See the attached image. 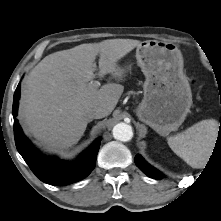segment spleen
I'll use <instances>...</instances> for the list:
<instances>
[{
    "label": "spleen",
    "mask_w": 221,
    "mask_h": 221,
    "mask_svg": "<svg viewBox=\"0 0 221 221\" xmlns=\"http://www.w3.org/2000/svg\"><path fill=\"white\" fill-rule=\"evenodd\" d=\"M218 122L202 120L185 131L167 138L172 151L193 168H202L209 160L218 134Z\"/></svg>",
    "instance_id": "spleen-1"
}]
</instances>
